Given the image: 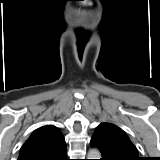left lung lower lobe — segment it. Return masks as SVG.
Segmentation results:
<instances>
[{
  "label": "left lung lower lobe",
  "instance_id": "left-lung-lower-lobe-1",
  "mask_svg": "<svg viewBox=\"0 0 160 160\" xmlns=\"http://www.w3.org/2000/svg\"><path fill=\"white\" fill-rule=\"evenodd\" d=\"M90 144L92 147H96L101 152L102 158L100 160H114L107 155V153L102 149L101 145L95 138H91Z\"/></svg>",
  "mask_w": 160,
  "mask_h": 160
}]
</instances>
